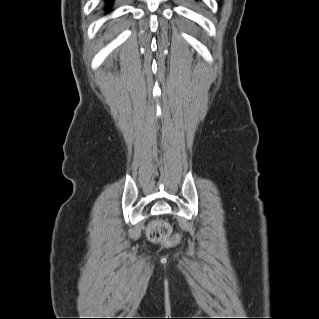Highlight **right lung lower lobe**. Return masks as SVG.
Segmentation results:
<instances>
[{"label": "right lung lower lobe", "instance_id": "1", "mask_svg": "<svg viewBox=\"0 0 319 319\" xmlns=\"http://www.w3.org/2000/svg\"><path fill=\"white\" fill-rule=\"evenodd\" d=\"M106 2V9H109L111 4L113 3V0H104Z\"/></svg>", "mask_w": 319, "mask_h": 319}]
</instances>
